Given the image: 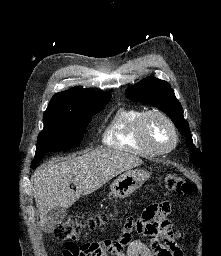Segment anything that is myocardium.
Wrapping results in <instances>:
<instances>
[{
    "instance_id": "myocardium-1",
    "label": "myocardium",
    "mask_w": 221,
    "mask_h": 256,
    "mask_svg": "<svg viewBox=\"0 0 221 256\" xmlns=\"http://www.w3.org/2000/svg\"><path fill=\"white\" fill-rule=\"evenodd\" d=\"M151 116H158L162 118L170 127L173 134V142L170 146L160 149L152 145V143L148 140L145 132L146 121ZM136 135L138 140L143 144L147 149H149L152 153L157 155H163L171 152L179 142V133L177 127L173 120L163 111L158 109H151L143 112L138 119V125L136 130Z\"/></svg>"
}]
</instances>
